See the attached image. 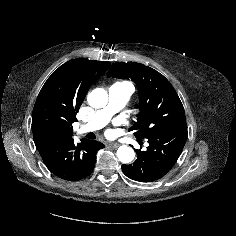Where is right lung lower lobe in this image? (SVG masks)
<instances>
[{
  "label": "right lung lower lobe",
  "instance_id": "right-lung-lower-lobe-1",
  "mask_svg": "<svg viewBox=\"0 0 236 236\" xmlns=\"http://www.w3.org/2000/svg\"><path fill=\"white\" fill-rule=\"evenodd\" d=\"M35 145L49 171L67 181L87 177L94 169L96 152L105 147L98 141L86 139L77 144L73 139L43 140Z\"/></svg>",
  "mask_w": 236,
  "mask_h": 236
}]
</instances>
